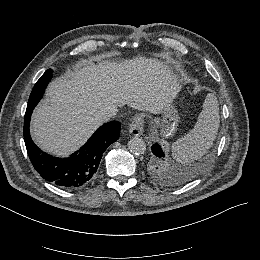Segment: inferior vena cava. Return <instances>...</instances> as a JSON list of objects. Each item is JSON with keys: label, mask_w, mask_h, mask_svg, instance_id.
Listing matches in <instances>:
<instances>
[{"label": "inferior vena cava", "mask_w": 260, "mask_h": 260, "mask_svg": "<svg viewBox=\"0 0 260 260\" xmlns=\"http://www.w3.org/2000/svg\"><path fill=\"white\" fill-rule=\"evenodd\" d=\"M123 101L118 99V98H114L113 100H111L106 107V112L105 114L107 116H113L118 112V108L123 106Z\"/></svg>", "instance_id": "obj_1"}]
</instances>
